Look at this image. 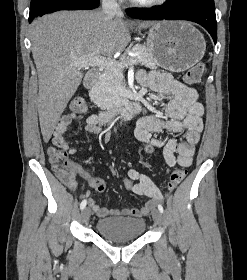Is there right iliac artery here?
<instances>
[{
  "mask_svg": "<svg viewBox=\"0 0 247 280\" xmlns=\"http://www.w3.org/2000/svg\"><path fill=\"white\" fill-rule=\"evenodd\" d=\"M86 204H87V201H86V199H85V200H83V201L81 202V204H80V209L83 210V209L86 207Z\"/></svg>",
  "mask_w": 247,
  "mask_h": 280,
  "instance_id": "obj_1",
  "label": "right iliac artery"
}]
</instances>
